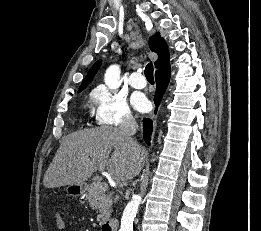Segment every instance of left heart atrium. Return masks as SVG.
<instances>
[{
    "label": "left heart atrium",
    "instance_id": "39dd6f15",
    "mask_svg": "<svg viewBox=\"0 0 261 231\" xmlns=\"http://www.w3.org/2000/svg\"><path fill=\"white\" fill-rule=\"evenodd\" d=\"M131 103L133 107L139 112H146L150 106L147 97L140 92H135L132 94Z\"/></svg>",
    "mask_w": 261,
    "mask_h": 231
}]
</instances>
